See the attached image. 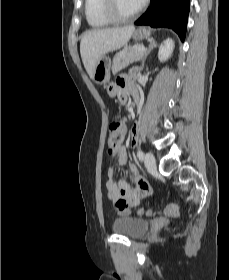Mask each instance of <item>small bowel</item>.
Listing matches in <instances>:
<instances>
[{
	"mask_svg": "<svg viewBox=\"0 0 229 280\" xmlns=\"http://www.w3.org/2000/svg\"><path fill=\"white\" fill-rule=\"evenodd\" d=\"M107 93L110 97L117 99L121 103H125L129 96L138 94L136 84L134 83V74L127 73L117 77L107 86ZM131 144L135 146L139 138V127L135 123L131 132ZM115 164L111 165L108 169L107 192L108 197L113 203V208L120 216H128L130 214V207H119L116 201L120 199L133 198L132 205H137L141 198L151 193L150 185L141 177L139 170L136 166L130 165L127 167V173L131 175L137 185L136 189H131L126 181L116 182L115 169L119 166L126 165V152L125 148L119 145L113 152Z\"/></svg>",
	"mask_w": 229,
	"mask_h": 280,
	"instance_id": "1",
	"label": "small bowel"
}]
</instances>
